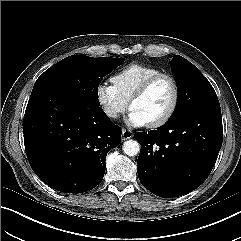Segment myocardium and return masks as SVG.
I'll use <instances>...</instances> for the list:
<instances>
[{
    "label": "myocardium",
    "mask_w": 241,
    "mask_h": 241,
    "mask_svg": "<svg viewBox=\"0 0 241 241\" xmlns=\"http://www.w3.org/2000/svg\"><path fill=\"white\" fill-rule=\"evenodd\" d=\"M160 79H167L171 82L172 87H173V99L171 102L170 107L168 108V110L166 111V113L160 117L159 119L147 123V127L149 128H158L161 127L163 125H165L175 114L178 104H179V99H180V87L178 84L177 79L168 73H158L150 78H148L146 81H144L137 89L136 91L131 95L130 99H129V108L131 109V106L133 104L134 101H136L137 99L143 97L149 90L150 88Z\"/></svg>",
    "instance_id": "myocardium-1"
}]
</instances>
